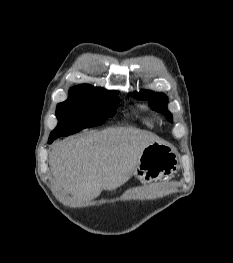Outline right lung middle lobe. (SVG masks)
Here are the masks:
<instances>
[{"label": "right lung middle lobe", "instance_id": "right-lung-middle-lobe-1", "mask_svg": "<svg viewBox=\"0 0 233 263\" xmlns=\"http://www.w3.org/2000/svg\"><path fill=\"white\" fill-rule=\"evenodd\" d=\"M118 92L96 97H69L56 109L57 127L51 132L49 142L60 136H68L82 129L98 126L116 113Z\"/></svg>", "mask_w": 233, "mask_h": 263}]
</instances>
